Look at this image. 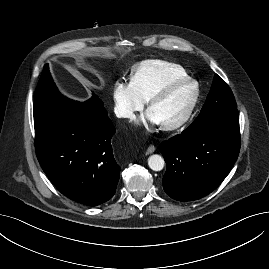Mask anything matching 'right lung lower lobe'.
Returning a JSON list of instances; mask_svg holds the SVG:
<instances>
[{"mask_svg": "<svg viewBox=\"0 0 269 269\" xmlns=\"http://www.w3.org/2000/svg\"><path fill=\"white\" fill-rule=\"evenodd\" d=\"M114 133L107 114L83 107L67 122L36 136L38 161L63 195L88 206L102 204L115 194L119 180Z\"/></svg>", "mask_w": 269, "mask_h": 269, "instance_id": "1", "label": "right lung lower lobe"}]
</instances>
